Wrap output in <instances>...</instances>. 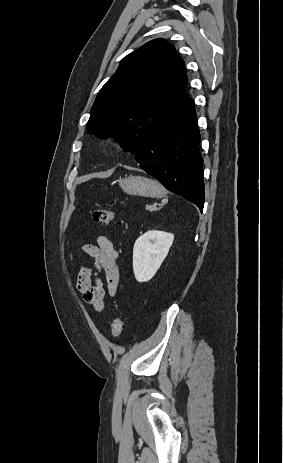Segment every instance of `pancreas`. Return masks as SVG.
<instances>
[{
  "label": "pancreas",
  "mask_w": 283,
  "mask_h": 463,
  "mask_svg": "<svg viewBox=\"0 0 283 463\" xmlns=\"http://www.w3.org/2000/svg\"><path fill=\"white\" fill-rule=\"evenodd\" d=\"M146 210H148V211H156L157 208L155 206L147 205Z\"/></svg>",
  "instance_id": "obj_1"
}]
</instances>
